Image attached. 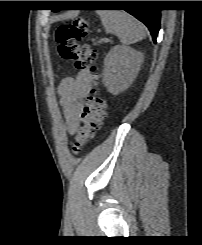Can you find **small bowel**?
Returning <instances> with one entry per match:
<instances>
[{
    "mask_svg": "<svg viewBox=\"0 0 202 245\" xmlns=\"http://www.w3.org/2000/svg\"><path fill=\"white\" fill-rule=\"evenodd\" d=\"M90 88V75L87 70H81L75 77L64 78L59 84V95L63 107L69 112L66 127L69 133L73 134L78 121L75 115L82 107Z\"/></svg>",
    "mask_w": 202,
    "mask_h": 245,
    "instance_id": "obj_1",
    "label": "small bowel"
}]
</instances>
